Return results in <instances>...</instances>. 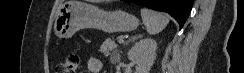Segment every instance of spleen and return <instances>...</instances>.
<instances>
[{
  "label": "spleen",
  "mask_w": 244,
  "mask_h": 73,
  "mask_svg": "<svg viewBox=\"0 0 244 73\" xmlns=\"http://www.w3.org/2000/svg\"><path fill=\"white\" fill-rule=\"evenodd\" d=\"M142 21L150 35L160 33L169 23V17L147 8L141 9Z\"/></svg>",
  "instance_id": "obj_1"
}]
</instances>
